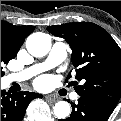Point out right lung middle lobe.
<instances>
[{
  "label": "right lung middle lobe",
  "instance_id": "right-lung-middle-lobe-1",
  "mask_svg": "<svg viewBox=\"0 0 121 121\" xmlns=\"http://www.w3.org/2000/svg\"><path fill=\"white\" fill-rule=\"evenodd\" d=\"M20 46L11 42L7 37L1 35V76L4 75L2 65L7 64L9 60L15 58Z\"/></svg>",
  "mask_w": 121,
  "mask_h": 121
}]
</instances>
